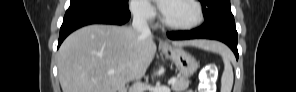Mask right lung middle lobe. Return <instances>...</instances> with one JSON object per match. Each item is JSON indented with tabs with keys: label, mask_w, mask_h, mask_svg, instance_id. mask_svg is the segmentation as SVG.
Segmentation results:
<instances>
[{
	"label": "right lung middle lobe",
	"mask_w": 296,
	"mask_h": 92,
	"mask_svg": "<svg viewBox=\"0 0 296 92\" xmlns=\"http://www.w3.org/2000/svg\"><path fill=\"white\" fill-rule=\"evenodd\" d=\"M74 1H77V0H71V2H74ZM97 1H101L120 8L126 7L128 5V0H97Z\"/></svg>",
	"instance_id": "obj_1"
}]
</instances>
